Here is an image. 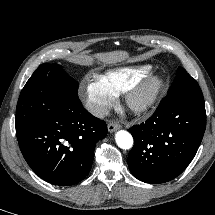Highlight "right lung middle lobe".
<instances>
[{"label":"right lung middle lobe","mask_w":215,"mask_h":215,"mask_svg":"<svg viewBox=\"0 0 215 215\" xmlns=\"http://www.w3.org/2000/svg\"><path fill=\"white\" fill-rule=\"evenodd\" d=\"M78 83L54 63L41 64L21 91L16 108V134L31 127L45 112L77 93Z\"/></svg>","instance_id":"1"}]
</instances>
